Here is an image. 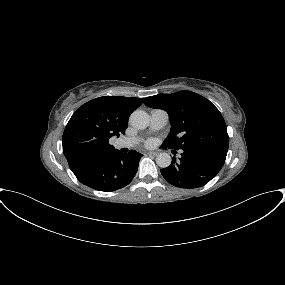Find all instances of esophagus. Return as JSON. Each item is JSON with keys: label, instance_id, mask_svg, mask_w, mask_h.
<instances>
[{"label": "esophagus", "instance_id": "34e87169", "mask_svg": "<svg viewBox=\"0 0 285 285\" xmlns=\"http://www.w3.org/2000/svg\"><path fill=\"white\" fill-rule=\"evenodd\" d=\"M147 155H149V156H156L157 152H148Z\"/></svg>", "mask_w": 285, "mask_h": 285}]
</instances>
